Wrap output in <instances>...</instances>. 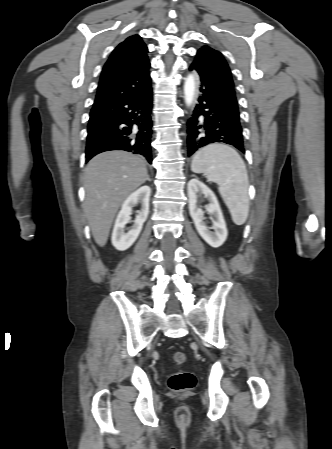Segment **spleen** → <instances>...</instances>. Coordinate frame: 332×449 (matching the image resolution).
Here are the masks:
<instances>
[{"label": "spleen", "instance_id": "3e777b00", "mask_svg": "<svg viewBox=\"0 0 332 449\" xmlns=\"http://www.w3.org/2000/svg\"><path fill=\"white\" fill-rule=\"evenodd\" d=\"M191 170L203 173L208 181L219 185V193L228 207L232 220L242 225L249 214L248 174L240 155L224 144H211L193 157Z\"/></svg>", "mask_w": 332, "mask_h": 449}]
</instances>
